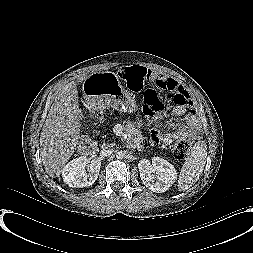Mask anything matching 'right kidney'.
Wrapping results in <instances>:
<instances>
[{
  "mask_svg": "<svg viewBox=\"0 0 253 253\" xmlns=\"http://www.w3.org/2000/svg\"><path fill=\"white\" fill-rule=\"evenodd\" d=\"M101 167L99 159L89 161L85 156L71 160L62 170L64 183L70 187L83 188L94 184Z\"/></svg>",
  "mask_w": 253,
  "mask_h": 253,
  "instance_id": "ca27d5eb",
  "label": "right kidney"
}]
</instances>
